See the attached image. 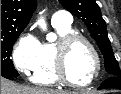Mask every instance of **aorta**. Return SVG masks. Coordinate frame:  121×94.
Here are the masks:
<instances>
[{
	"mask_svg": "<svg viewBox=\"0 0 121 94\" xmlns=\"http://www.w3.org/2000/svg\"><path fill=\"white\" fill-rule=\"evenodd\" d=\"M36 24L43 30V31H46L47 30V25H46V22H45V19L43 17H40ZM46 38L48 41H54L56 39V35L53 34V33H49L46 35Z\"/></svg>",
	"mask_w": 121,
	"mask_h": 94,
	"instance_id": "obj_1",
	"label": "aorta"
}]
</instances>
